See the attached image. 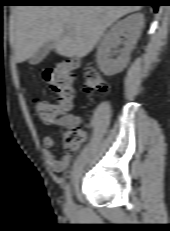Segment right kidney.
I'll return each instance as SVG.
<instances>
[{
	"instance_id": "1",
	"label": "right kidney",
	"mask_w": 170,
	"mask_h": 231,
	"mask_svg": "<svg viewBox=\"0 0 170 231\" xmlns=\"http://www.w3.org/2000/svg\"><path fill=\"white\" fill-rule=\"evenodd\" d=\"M143 26V14L136 13L117 22L103 36L96 57L100 70L106 76L115 75L126 67L130 53L140 37ZM121 37H124V39ZM120 44H123L124 48L120 50L117 58L113 59L112 57L116 55L113 49H116Z\"/></svg>"
}]
</instances>
